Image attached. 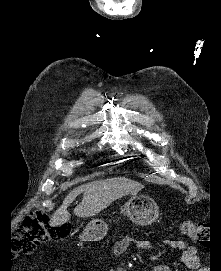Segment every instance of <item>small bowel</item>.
<instances>
[{
  "label": "small bowel",
  "instance_id": "obj_1",
  "mask_svg": "<svg viewBox=\"0 0 221 271\" xmlns=\"http://www.w3.org/2000/svg\"><path fill=\"white\" fill-rule=\"evenodd\" d=\"M165 243L181 253V260L185 267L192 270L199 268L200 264L197 249L194 246H189L185 241L179 239H168ZM130 245L143 251H150L153 249V242L151 240L124 237L114 244L112 250L113 255L119 256L123 254ZM110 271H125V269L121 267H113ZM153 271H174V269L169 265L158 264L154 266Z\"/></svg>",
  "mask_w": 221,
  "mask_h": 271
}]
</instances>
